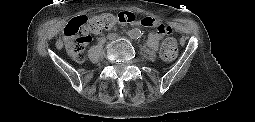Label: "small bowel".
Wrapping results in <instances>:
<instances>
[{
  "mask_svg": "<svg viewBox=\"0 0 255 122\" xmlns=\"http://www.w3.org/2000/svg\"><path fill=\"white\" fill-rule=\"evenodd\" d=\"M140 24L139 22H133L132 25H138ZM162 39V35L158 32H152L149 34L148 37V46L152 49V50H158L160 41Z\"/></svg>",
  "mask_w": 255,
  "mask_h": 122,
  "instance_id": "1",
  "label": "small bowel"
}]
</instances>
